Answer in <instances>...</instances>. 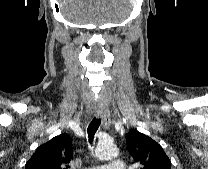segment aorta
<instances>
[{
    "instance_id": "obj_1",
    "label": "aorta",
    "mask_w": 208,
    "mask_h": 169,
    "mask_svg": "<svg viewBox=\"0 0 208 169\" xmlns=\"http://www.w3.org/2000/svg\"><path fill=\"white\" fill-rule=\"evenodd\" d=\"M95 153L99 160H111L118 156L119 150L113 143L102 142L97 145Z\"/></svg>"
}]
</instances>
